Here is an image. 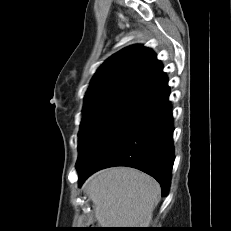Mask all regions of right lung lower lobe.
Wrapping results in <instances>:
<instances>
[{"mask_svg": "<svg viewBox=\"0 0 231 231\" xmlns=\"http://www.w3.org/2000/svg\"><path fill=\"white\" fill-rule=\"evenodd\" d=\"M173 130L169 96L149 103L116 129L78 169L79 186L97 170L129 166L154 177L166 195L175 158Z\"/></svg>", "mask_w": 231, "mask_h": 231, "instance_id": "1", "label": "right lung lower lobe"}]
</instances>
